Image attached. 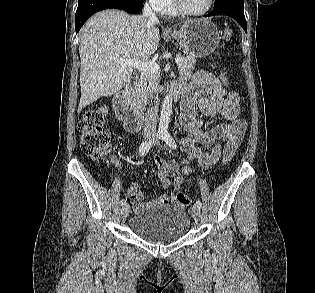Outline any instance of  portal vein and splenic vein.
Masks as SVG:
<instances>
[{
	"mask_svg": "<svg viewBox=\"0 0 315 293\" xmlns=\"http://www.w3.org/2000/svg\"><path fill=\"white\" fill-rule=\"evenodd\" d=\"M117 61L123 67H132V68L137 69V70L144 72V73L150 72L154 75H157L159 73V70H160L159 65L157 63H155L154 61L143 62V61H140L137 59L127 60V59H121V58H118ZM182 61H183L182 57H177L175 59V62L177 64L182 63Z\"/></svg>",
	"mask_w": 315,
	"mask_h": 293,
	"instance_id": "18ae733b",
	"label": "portal vein and splenic vein"
}]
</instances>
